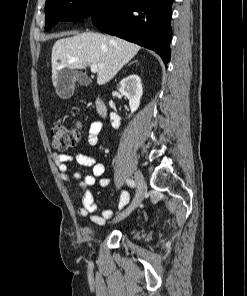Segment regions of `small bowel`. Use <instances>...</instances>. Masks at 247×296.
Listing matches in <instances>:
<instances>
[{
    "label": "small bowel",
    "instance_id": "obj_1",
    "mask_svg": "<svg viewBox=\"0 0 247 296\" xmlns=\"http://www.w3.org/2000/svg\"><path fill=\"white\" fill-rule=\"evenodd\" d=\"M102 131V123L94 121L91 123L88 131V143L92 146H96L99 143V135ZM53 159L60 172L61 179L64 182H74L83 189L82 192V205L78 208V214L82 217L91 216V220L99 225L105 223L107 219L112 217L113 212L109 209H105L101 216L93 215L98 206L94 202L93 192L91 187L97 183L101 188H106L110 184V178L103 176L105 167L99 163L93 156H88L82 153H76L74 155L68 154H53ZM70 163H75L80 166L90 167L91 171L88 174H81L80 172L71 171L69 168ZM130 201V194L128 191H122L118 209L123 210L126 208Z\"/></svg>",
    "mask_w": 247,
    "mask_h": 296
}]
</instances>
